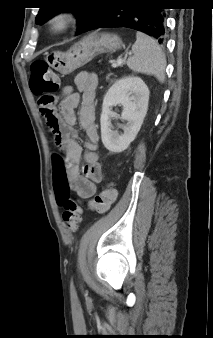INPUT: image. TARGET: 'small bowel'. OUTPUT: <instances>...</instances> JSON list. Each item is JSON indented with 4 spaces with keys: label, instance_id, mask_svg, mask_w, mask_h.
Returning <instances> with one entry per match:
<instances>
[{
    "label": "small bowel",
    "instance_id": "obj_1",
    "mask_svg": "<svg viewBox=\"0 0 213 338\" xmlns=\"http://www.w3.org/2000/svg\"><path fill=\"white\" fill-rule=\"evenodd\" d=\"M98 85L96 74L83 72L76 76L77 92L70 85L62 88L59 102V126L63 132V146L66 157L62 160L55 156V172H66L70 188L84 200L90 199L96 192V183L102 180V169L97 153L98 132L94 117L95 90ZM81 103L79 117L75 110ZM79 123L85 132V150L78 142L79 133L75 128ZM83 159L84 165L79 166Z\"/></svg>",
    "mask_w": 213,
    "mask_h": 338
}]
</instances>
